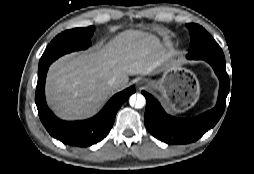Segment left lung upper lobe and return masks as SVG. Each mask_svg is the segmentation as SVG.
Wrapping results in <instances>:
<instances>
[{"label":"left lung upper lobe","mask_w":254,"mask_h":174,"mask_svg":"<svg viewBox=\"0 0 254 174\" xmlns=\"http://www.w3.org/2000/svg\"><path fill=\"white\" fill-rule=\"evenodd\" d=\"M190 31L191 43L187 58L190 59H216L225 61L223 51L217 42L200 25L186 24Z\"/></svg>","instance_id":"left-lung-upper-lobe-1"}]
</instances>
